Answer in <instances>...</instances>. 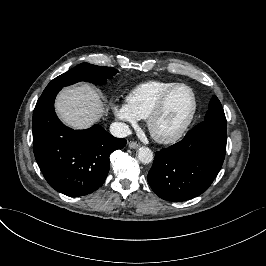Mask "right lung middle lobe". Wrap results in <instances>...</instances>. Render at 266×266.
Returning <instances> with one entry per match:
<instances>
[{
	"label": "right lung middle lobe",
	"mask_w": 266,
	"mask_h": 266,
	"mask_svg": "<svg viewBox=\"0 0 266 266\" xmlns=\"http://www.w3.org/2000/svg\"><path fill=\"white\" fill-rule=\"evenodd\" d=\"M118 72L112 67L95 66L89 63H81L66 73L53 79L44 92L55 88H62L79 81H87L102 85L106 80Z\"/></svg>",
	"instance_id": "right-lung-middle-lobe-1"
}]
</instances>
